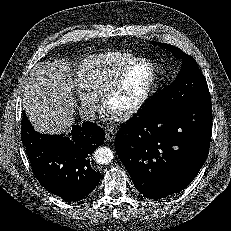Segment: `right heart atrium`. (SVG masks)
<instances>
[{
	"label": "right heart atrium",
	"mask_w": 231,
	"mask_h": 231,
	"mask_svg": "<svg viewBox=\"0 0 231 231\" xmlns=\"http://www.w3.org/2000/svg\"><path fill=\"white\" fill-rule=\"evenodd\" d=\"M76 94L79 99L82 110L86 114H91L95 110V99L91 95H89L85 90L81 87L76 88Z\"/></svg>",
	"instance_id": "right-heart-atrium-1"
}]
</instances>
